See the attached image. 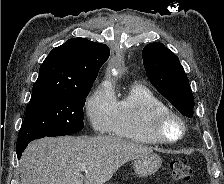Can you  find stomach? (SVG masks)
<instances>
[{"label": "stomach", "instance_id": "0dacf381", "mask_svg": "<svg viewBox=\"0 0 224 184\" xmlns=\"http://www.w3.org/2000/svg\"><path fill=\"white\" fill-rule=\"evenodd\" d=\"M161 166V158L154 153L138 157L134 161V171L139 177L154 174Z\"/></svg>", "mask_w": 224, "mask_h": 184}]
</instances>
